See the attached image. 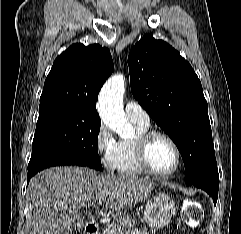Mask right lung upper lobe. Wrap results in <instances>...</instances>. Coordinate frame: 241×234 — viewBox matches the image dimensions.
<instances>
[{
	"mask_svg": "<svg viewBox=\"0 0 241 234\" xmlns=\"http://www.w3.org/2000/svg\"><path fill=\"white\" fill-rule=\"evenodd\" d=\"M113 70L107 48L98 44H73L55 59L45 80L39 107L70 106L98 116L96 99Z\"/></svg>",
	"mask_w": 241,
	"mask_h": 234,
	"instance_id": "right-lung-upper-lobe-1",
	"label": "right lung upper lobe"
}]
</instances>
